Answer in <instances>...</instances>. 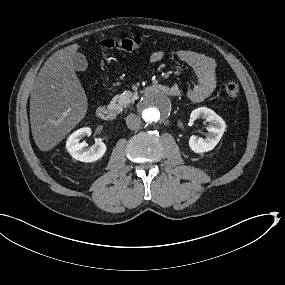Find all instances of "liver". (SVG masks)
I'll return each mask as SVG.
<instances>
[{
    "label": "liver",
    "instance_id": "liver-1",
    "mask_svg": "<svg viewBox=\"0 0 285 285\" xmlns=\"http://www.w3.org/2000/svg\"><path fill=\"white\" fill-rule=\"evenodd\" d=\"M79 48L73 44L55 52L35 79L30 98V122L35 144L49 151L85 117L88 100L73 67Z\"/></svg>",
    "mask_w": 285,
    "mask_h": 285
}]
</instances>
